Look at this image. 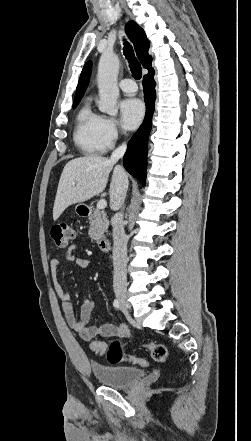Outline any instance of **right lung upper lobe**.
Listing matches in <instances>:
<instances>
[{"label":"right lung upper lobe","instance_id":"1","mask_svg":"<svg viewBox=\"0 0 251 441\" xmlns=\"http://www.w3.org/2000/svg\"><path fill=\"white\" fill-rule=\"evenodd\" d=\"M125 30L129 38L131 39L137 57L142 63L143 67L147 68L148 71H152L151 66L152 57L148 54L149 41L146 38L144 30L133 20L126 23ZM92 69V62L88 61L81 72L78 86L76 89V94L74 97L75 101H80L84 95V92L88 86L90 75Z\"/></svg>","mask_w":251,"mask_h":441}]
</instances>
